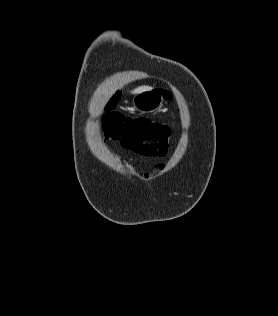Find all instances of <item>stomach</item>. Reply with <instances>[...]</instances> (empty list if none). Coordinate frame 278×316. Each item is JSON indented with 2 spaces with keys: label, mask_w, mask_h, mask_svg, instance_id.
<instances>
[{
  "label": "stomach",
  "mask_w": 278,
  "mask_h": 316,
  "mask_svg": "<svg viewBox=\"0 0 278 316\" xmlns=\"http://www.w3.org/2000/svg\"><path fill=\"white\" fill-rule=\"evenodd\" d=\"M164 97L161 92L152 89L137 93L132 101V109L135 112L146 114L160 109L163 105Z\"/></svg>",
  "instance_id": "obj_1"
}]
</instances>
